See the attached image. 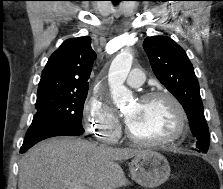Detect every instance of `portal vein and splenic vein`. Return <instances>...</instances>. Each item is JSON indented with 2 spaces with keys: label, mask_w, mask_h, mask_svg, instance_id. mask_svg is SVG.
<instances>
[{
  "label": "portal vein and splenic vein",
  "mask_w": 223,
  "mask_h": 189,
  "mask_svg": "<svg viewBox=\"0 0 223 189\" xmlns=\"http://www.w3.org/2000/svg\"><path fill=\"white\" fill-rule=\"evenodd\" d=\"M68 189H88L85 185L82 184H73V183H67Z\"/></svg>",
  "instance_id": "1"
}]
</instances>
